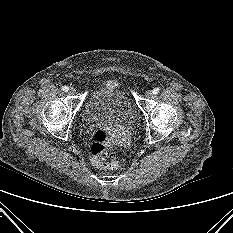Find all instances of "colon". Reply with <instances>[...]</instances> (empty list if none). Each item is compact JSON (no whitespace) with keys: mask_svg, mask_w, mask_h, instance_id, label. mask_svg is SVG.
Here are the masks:
<instances>
[{"mask_svg":"<svg viewBox=\"0 0 233 233\" xmlns=\"http://www.w3.org/2000/svg\"><path fill=\"white\" fill-rule=\"evenodd\" d=\"M90 154L95 166L102 169L115 170L121 167V163L114 160L111 151L115 144L111 140L108 132L103 128H97L93 132ZM110 160V161H108Z\"/></svg>","mask_w":233,"mask_h":233,"instance_id":"colon-1","label":"colon"}]
</instances>
